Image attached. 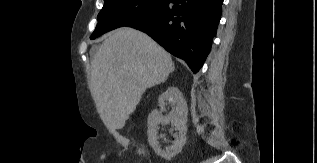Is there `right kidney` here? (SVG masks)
Returning a JSON list of instances; mask_svg holds the SVG:
<instances>
[{
    "mask_svg": "<svg viewBox=\"0 0 317 163\" xmlns=\"http://www.w3.org/2000/svg\"><path fill=\"white\" fill-rule=\"evenodd\" d=\"M166 101L172 104L171 112L167 116H163L157 109H154L148 116L147 134L148 142L155 153L166 160H171L181 152L186 143L188 107L183 94L176 87H169L159 96L160 105H164ZM161 122L171 123L178 131L174 134L173 145L166 150L161 149L158 142L157 129Z\"/></svg>",
    "mask_w": 317,
    "mask_h": 163,
    "instance_id": "obj_1",
    "label": "right kidney"
}]
</instances>
